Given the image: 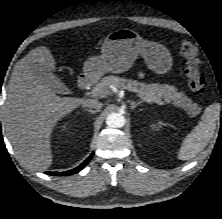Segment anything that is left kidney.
Here are the masks:
<instances>
[{
	"mask_svg": "<svg viewBox=\"0 0 222 219\" xmlns=\"http://www.w3.org/2000/svg\"><path fill=\"white\" fill-rule=\"evenodd\" d=\"M151 127L154 130H158L160 126L158 124H152Z\"/></svg>",
	"mask_w": 222,
	"mask_h": 219,
	"instance_id": "5707ae66",
	"label": "left kidney"
}]
</instances>
